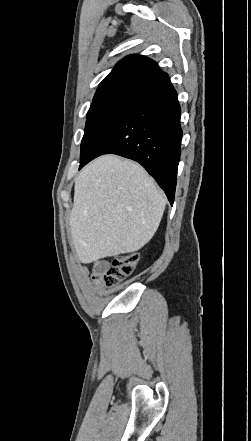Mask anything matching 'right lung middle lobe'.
<instances>
[{"label":"right lung middle lobe","instance_id":"dd1d6c3e","mask_svg":"<svg viewBox=\"0 0 251 441\" xmlns=\"http://www.w3.org/2000/svg\"><path fill=\"white\" fill-rule=\"evenodd\" d=\"M133 99H107L91 104L81 142L80 164L108 129L136 102Z\"/></svg>","mask_w":251,"mask_h":441}]
</instances>
